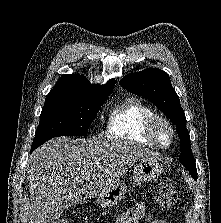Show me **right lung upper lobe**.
<instances>
[{"mask_svg": "<svg viewBox=\"0 0 221 223\" xmlns=\"http://www.w3.org/2000/svg\"><path fill=\"white\" fill-rule=\"evenodd\" d=\"M115 80L105 85L91 84L83 75H62L55 87L46 96L45 103L66 100H96L107 98L112 92Z\"/></svg>", "mask_w": 221, "mask_h": 223, "instance_id": "cb5924a9", "label": "right lung upper lobe"}]
</instances>
